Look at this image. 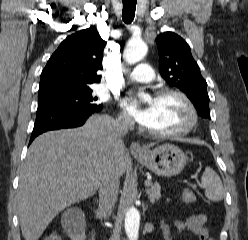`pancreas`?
Wrapping results in <instances>:
<instances>
[{
	"label": "pancreas",
	"mask_w": 248,
	"mask_h": 240,
	"mask_svg": "<svg viewBox=\"0 0 248 240\" xmlns=\"http://www.w3.org/2000/svg\"><path fill=\"white\" fill-rule=\"evenodd\" d=\"M148 189H147V194L149 196V200L151 202H155V200H158L160 199L161 197V194H160V191H161V188H160V185L158 183H154V184H150L148 185Z\"/></svg>",
	"instance_id": "1"
}]
</instances>
